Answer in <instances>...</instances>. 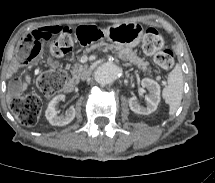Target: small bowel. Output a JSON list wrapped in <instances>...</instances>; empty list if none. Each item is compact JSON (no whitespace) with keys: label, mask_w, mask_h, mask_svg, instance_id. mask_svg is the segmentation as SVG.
Wrapping results in <instances>:
<instances>
[{"label":"small bowel","mask_w":215,"mask_h":183,"mask_svg":"<svg viewBox=\"0 0 215 183\" xmlns=\"http://www.w3.org/2000/svg\"><path fill=\"white\" fill-rule=\"evenodd\" d=\"M69 29L67 26H58V25H49V26H43L35 29L34 31L30 32L24 39V41L32 47V42L36 39H39L41 42L46 41L50 39L54 34L57 32H60L61 30ZM47 36H50L48 39ZM23 41V42H24ZM21 48L18 53V55L21 53ZM36 60V59H35ZM33 60V62L35 61ZM28 62L25 60L22 61H15L8 69V75H12L13 73L17 72L24 64H27ZM50 66L52 68H55L58 66V63L56 61H50ZM29 78H26L25 80H16L11 84L10 88V94L16 95L22 90L26 89L29 84Z\"/></svg>","instance_id":"obj_1"}]
</instances>
